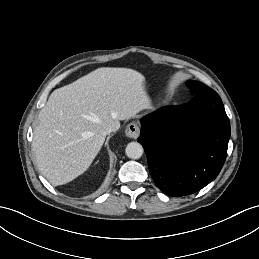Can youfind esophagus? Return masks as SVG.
I'll return each instance as SVG.
<instances>
[{
	"instance_id": "34e87169",
	"label": "esophagus",
	"mask_w": 259,
	"mask_h": 259,
	"mask_svg": "<svg viewBox=\"0 0 259 259\" xmlns=\"http://www.w3.org/2000/svg\"><path fill=\"white\" fill-rule=\"evenodd\" d=\"M125 134L127 137L132 139H137L140 135V127L137 123H130L125 130Z\"/></svg>"
}]
</instances>
